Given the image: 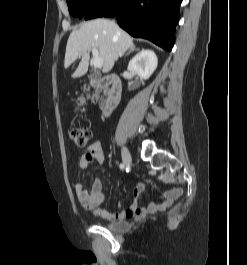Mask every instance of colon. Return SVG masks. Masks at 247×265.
I'll list each match as a JSON object with an SVG mask.
<instances>
[{
  "label": "colon",
  "instance_id": "colon-1",
  "mask_svg": "<svg viewBox=\"0 0 247 265\" xmlns=\"http://www.w3.org/2000/svg\"><path fill=\"white\" fill-rule=\"evenodd\" d=\"M90 98L96 102H103L105 94L101 90H96L90 95ZM78 106H82L85 102L84 97L76 100ZM92 136L91 129L88 126H72L69 129V137L78 148H85Z\"/></svg>",
  "mask_w": 247,
  "mask_h": 265
}]
</instances>
